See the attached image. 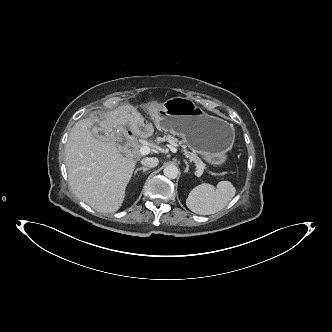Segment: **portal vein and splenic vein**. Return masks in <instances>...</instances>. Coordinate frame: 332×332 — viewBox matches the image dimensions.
Masks as SVG:
<instances>
[{
	"mask_svg": "<svg viewBox=\"0 0 332 332\" xmlns=\"http://www.w3.org/2000/svg\"><path fill=\"white\" fill-rule=\"evenodd\" d=\"M170 149H171V151L173 152V153H176L177 152V148L176 147H174V146H170ZM150 147H148V146H142V147H140V150H139V152H140V154L141 155H147V154H149L150 153ZM186 157H188L187 155H185ZM203 174V170H197L196 171V175L198 176V177H200L201 175ZM213 175H215V174H213Z\"/></svg>",
	"mask_w": 332,
	"mask_h": 332,
	"instance_id": "obj_1",
	"label": "portal vein and splenic vein"
}]
</instances>
